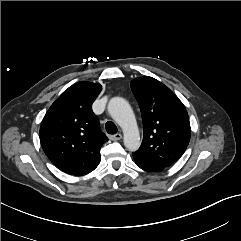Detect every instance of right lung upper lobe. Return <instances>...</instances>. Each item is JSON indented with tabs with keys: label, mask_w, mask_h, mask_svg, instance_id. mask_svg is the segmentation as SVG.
Returning a JSON list of instances; mask_svg holds the SVG:
<instances>
[{
	"label": "right lung upper lobe",
	"mask_w": 241,
	"mask_h": 241,
	"mask_svg": "<svg viewBox=\"0 0 241 241\" xmlns=\"http://www.w3.org/2000/svg\"><path fill=\"white\" fill-rule=\"evenodd\" d=\"M100 84L77 82L51 105L40 127V142L50 161L71 175H84L99 164L108 138L99 128L92 103Z\"/></svg>",
	"instance_id": "right-lung-upper-lobe-1"
}]
</instances>
